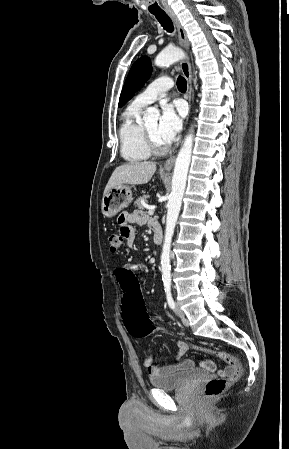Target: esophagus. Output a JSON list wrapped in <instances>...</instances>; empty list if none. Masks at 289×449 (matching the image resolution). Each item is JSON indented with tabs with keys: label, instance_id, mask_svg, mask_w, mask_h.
<instances>
[{
	"label": "esophagus",
	"instance_id": "34e87169",
	"mask_svg": "<svg viewBox=\"0 0 289 449\" xmlns=\"http://www.w3.org/2000/svg\"><path fill=\"white\" fill-rule=\"evenodd\" d=\"M169 17L172 19V21L174 22L177 31H178V38H179V43L180 45L185 48L186 50H188L189 48V41L187 38V34L185 29L183 28V26L181 25L179 19L177 18V16L173 13V12H168ZM180 67L182 70V73L184 74L186 81H187V90H186V99L189 103H191V94H192V71H191V65L188 62V60H182L180 62ZM175 162V156L170 157L169 159L166 160L165 164H164V169L165 170H170Z\"/></svg>",
	"mask_w": 289,
	"mask_h": 449
}]
</instances>
